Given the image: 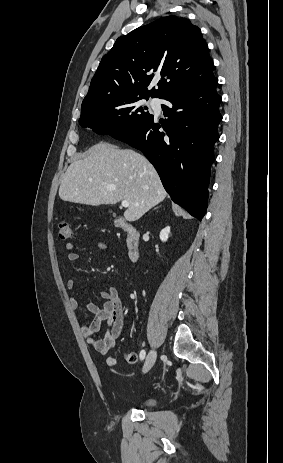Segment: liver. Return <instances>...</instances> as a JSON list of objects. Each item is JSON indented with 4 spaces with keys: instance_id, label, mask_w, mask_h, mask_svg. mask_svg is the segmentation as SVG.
<instances>
[{
    "instance_id": "liver-1",
    "label": "liver",
    "mask_w": 283,
    "mask_h": 463,
    "mask_svg": "<svg viewBox=\"0 0 283 463\" xmlns=\"http://www.w3.org/2000/svg\"><path fill=\"white\" fill-rule=\"evenodd\" d=\"M166 195L157 171L143 155L109 143L94 145L72 162L59 187L60 198L73 203L100 205L127 200L124 218L130 222L140 219Z\"/></svg>"
}]
</instances>
